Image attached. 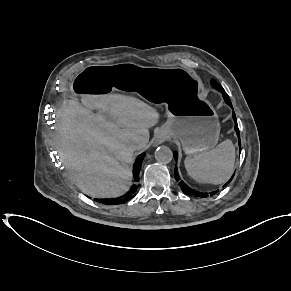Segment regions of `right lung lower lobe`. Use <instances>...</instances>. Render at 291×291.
I'll use <instances>...</instances> for the list:
<instances>
[{"label": "right lung lower lobe", "mask_w": 291, "mask_h": 291, "mask_svg": "<svg viewBox=\"0 0 291 291\" xmlns=\"http://www.w3.org/2000/svg\"><path fill=\"white\" fill-rule=\"evenodd\" d=\"M144 156H145L144 153L139 155L135 161L134 168H133L134 184L132 185V187L126 194L117 198H112V199H95V201H98L107 205H118V204L126 203L129 200H131L136 195L138 187H139L137 182L139 181V172H140V168H141Z\"/></svg>", "instance_id": "obj_1"}]
</instances>
